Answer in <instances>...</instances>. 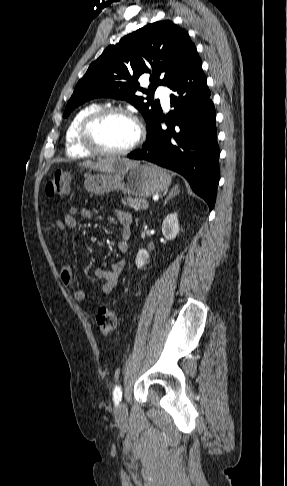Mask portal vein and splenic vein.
Masks as SVG:
<instances>
[{"label":"portal vein and splenic vein","instance_id":"portal-vein-and-splenic-vein-1","mask_svg":"<svg viewBox=\"0 0 287 486\" xmlns=\"http://www.w3.org/2000/svg\"><path fill=\"white\" fill-rule=\"evenodd\" d=\"M148 207H149L148 203H145V204L143 205V208H144L145 210H146V209H148Z\"/></svg>","mask_w":287,"mask_h":486}]
</instances>
